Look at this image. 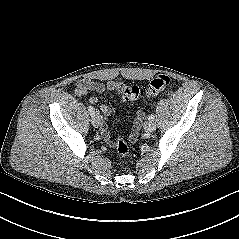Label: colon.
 <instances>
[{"mask_svg": "<svg viewBox=\"0 0 239 239\" xmlns=\"http://www.w3.org/2000/svg\"><path fill=\"white\" fill-rule=\"evenodd\" d=\"M169 84L170 78L162 74L153 78L146 87L127 85L123 88V99L125 101H134L142 97H152L163 91ZM115 148L121 157L129 155V146L123 138L118 137L116 139Z\"/></svg>", "mask_w": 239, "mask_h": 239, "instance_id": "1", "label": "colon"}]
</instances>
